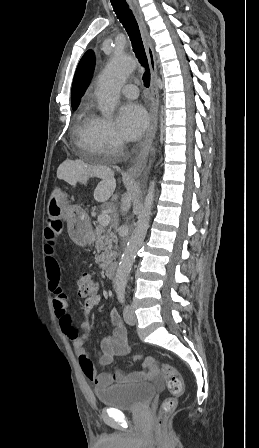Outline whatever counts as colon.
I'll use <instances>...</instances> for the list:
<instances>
[{
	"mask_svg": "<svg viewBox=\"0 0 259 448\" xmlns=\"http://www.w3.org/2000/svg\"><path fill=\"white\" fill-rule=\"evenodd\" d=\"M77 290L80 297H90L98 292V283L93 279V277L87 273L79 275L77 279ZM135 360H154L158 362L154 357L150 356H134ZM160 370L164 375L168 390L171 394L170 397L166 398L159 410L158 414V428H162L168 418V416L174 411L177 406L178 398L184 392V383L182 376L176 368L165 362H158Z\"/></svg>",
	"mask_w": 259,
	"mask_h": 448,
	"instance_id": "1",
	"label": "colon"
}]
</instances>
